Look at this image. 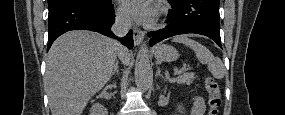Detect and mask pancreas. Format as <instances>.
<instances>
[{
	"mask_svg": "<svg viewBox=\"0 0 285 115\" xmlns=\"http://www.w3.org/2000/svg\"><path fill=\"white\" fill-rule=\"evenodd\" d=\"M195 79L194 73L192 72H185L174 79V81L178 84H186L190 85Z\"/></svg>",
	"mask_w": 285,
	"mask_h": 115,
	"instance_id": "obj_1",
	"label": "pancreas"
}]
</instances>
